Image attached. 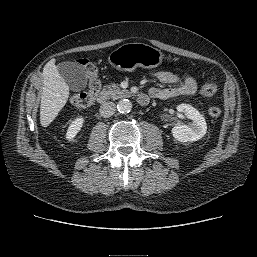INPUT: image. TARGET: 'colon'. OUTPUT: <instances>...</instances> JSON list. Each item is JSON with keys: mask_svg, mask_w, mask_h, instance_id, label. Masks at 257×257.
Masks as SVG:
<instances>
[{"mask_svg": "<svg viewBox=\"0 0 257 257\" xmlns=\"http://www.w3.org/2000/svg\"><path fill=\"white\" fill-rule=\"evenodd\" d=\"M81 63L84 66L88 76V86L84 91L74 94L71 97V102L77 107L87 108L93 104L97 93L100 91L101 80L97 73L96 67L91 62L84 59L81 61ZM216 92L217 85L213 81L205 82L201 87V93L206 97L213 96ZM208 112L211 117H218L221 114V109L218 106H211L208 109Z\"/></svg>", "mask_w": 257, "mask_h": 257, "instance_id": "5ec220e1", "label": "colon"}]
</instances>
